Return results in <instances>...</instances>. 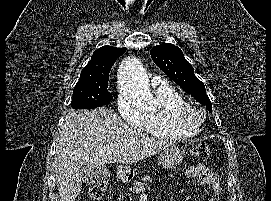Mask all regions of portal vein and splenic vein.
<instances>
[{
    "label": "portal vein and splenic vein",
    "mask_w": 271,
    "mask_h": 201,
    "mask_svg": "<svg viewBox=\"0 0 271 201\" xmlns=\"http://www.w3.org/2000/svg\"><path fill=\"white\" fill-rule=\"evenodd\" d=\"M116 147H118V148H119V147H120V145H116Z\"/></svg>",
    "instance_id": "portal-vein-and-splenic-vein-1"
}]
</instances>
